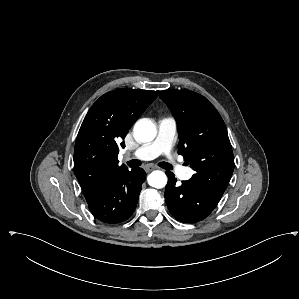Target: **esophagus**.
Wrapping results in <instances>:
<instances>
[{"label":"esophagus","mask_w":299,"mask_h":299,"mask_svg":"<svg viewBox=\"0 0 299 299\" xmlns=\"http://www.w3.org/2000/svg\"><path fill=\"white\" fill-rule=\"evenodd\" d=\"M157 167H155V166H149V165H146V166H144V170L148 173V172H150V171H152V170H154V169H156Z\"/></svg>","instance_id":"34e87169"}]
</instances>
